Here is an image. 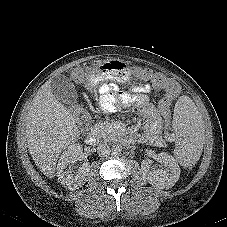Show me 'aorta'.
I'll return each mask as SVG.
<instances>
[{
    "label": "aorta",
    "instance_id": "obj_1",
    "mask_svg": "<svg viewBox=\"0 0 227 227\" xmlns=\"http://www.w3.org/2000/svg\"><path fill=\"white\" fill-rule=\"evenodd\" d=\"M121 151H122V148H121V146H119V145H114V146L112 147V154H113V155H118V154L121 153Z\"/></svg>",
    "mask_w": 227,
    "mask_h": 227
}]
</instances>
